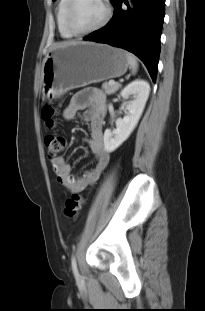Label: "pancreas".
<instances>
[{
  "mask_svg": "<svg viewBox=\"0 0 205 311\" xmlns=\"http://www.w3.org/2000/svg\"><path fill=\"white\" fill-rule=\"evenodd\" d=\"M119 88H121V85L119 83H115V84L112 85L109 82H105L102 85V89L108 95L115 93L116 91L119 90Z\"/></svg>",
  "mask_w": 205,
  "mask_h": 311,
  "instance_id": "1",
  "label": "pancreas"
}]
</instances>
